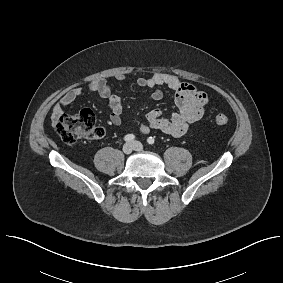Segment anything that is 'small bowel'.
<instances>
[{
  "label": "small bowel",
  "instance_id": "c3829d8e",
  "mask_svg": "<svg viewBox=\"0 0 283 283\" xmlns=\"http://www.w3.org/2000/svg\"><path fill=\"white\" fill-rule=\"evenodd\" d=\"M117 80L123 82L125 78L119 75ZM137 83L141 87L152 89L151 98L153 100H160L163 97L161 87L169 88L173 92L175 104L178 107V111L170 117H166L159 108L150 110L146 114V121L139 127V131L143 134H148L151 130H159L171 136H182L192 124L202 118L205 106L209 102L206 92L171 74L153 73L149 77L138 78ZM86 91L93 92L101 100L106 101L110 108V122L114 125L121 124L123 112L121 98L104 80L94 81L87 88L78 87L67 92L54 105L52 120L56 122L64 114V109Z\"/></svg>",
  "mask_w": 283,
  "mask_h": 283
}]
</instances>
